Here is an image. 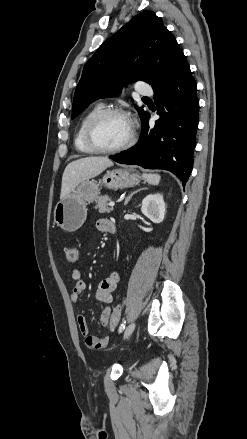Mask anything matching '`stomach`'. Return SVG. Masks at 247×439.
Wrapping results in <instances>:
<instances>
[{
  "mask_svg": "<svg viewBox=\"0 0 247 439\" xmlns=\"http://www.w3.org/2000/svg\"><path fill=\"white\" fill-rule=\"evenodd\" d=\"M141 176L132 167L108 170L99 182L85 180L54 208V222L67 232L78 230L86 220L88 203L96 201L100 185L109 189L127 188L140 183Z\"/></svg>",
  "mask_w": 247,
  "mask_h": 439,
  "instance_id": "stomach-1",
  "label": "stomach"
}]
</instances>
